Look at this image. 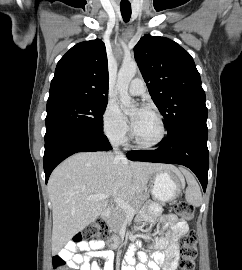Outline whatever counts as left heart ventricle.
<instances>
[{"label":"left heart ventricle","instance_id":"obj_1","mask_svg":"<svg viewBox=\"0 0 242 270\" xmlns=\"http://www.w3.org/2000/svg\"><path fill=\"white\" fill-rule=\"evenodd\" d=\"M137 112L133 113V118ZM136 138L141 142H153L160 133V128L156 117L150 112L144 113L133 127Z\"/></svg>","mask_w":242,"mask_h":270}]
</instances>
